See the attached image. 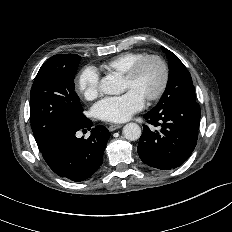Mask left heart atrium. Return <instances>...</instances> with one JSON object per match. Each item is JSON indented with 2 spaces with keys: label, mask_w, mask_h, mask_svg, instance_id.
I'll list each match as a JSON object with an SVG mask.
<instances>
[{
  "label": "left heart atrium",
  "mask_w": 232,
  "mask_h": 232,
  "mask_svg": "<svg viewBox=\"0 0 232 232\" xmlns=\"http://www.w3.org/2000/svg\"><path fill=\"white\" fill-rule=\"evenodd\" d=\"M144 107V98L135 90L107 97L94 106L98 118L108 122H124Z\"/></svg>",
  "instance_id": "obj_1"
}]
</instances>
